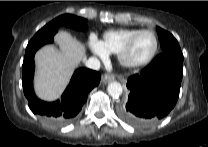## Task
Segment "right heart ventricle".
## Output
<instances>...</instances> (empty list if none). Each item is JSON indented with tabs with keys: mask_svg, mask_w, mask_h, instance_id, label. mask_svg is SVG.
I'll return each mask as SVG.
<instances>
[{
	"mask_svg": "<svg viewBox=\"0 0 208 147\" xmlns=\"http://www.w3.org/2000/svg\"><path fill=\"white\" fill-rule=\"evenodd\" d=\"M140 30L138 28L111 29L104 33L102 41L109 53L117 54L129 38Z\"/></svg>",
	"mask_w": 208,
	"mask_h": 147,
	"instance_id": "1",
	"label": "right heart ventricle"
}]
</instances>
